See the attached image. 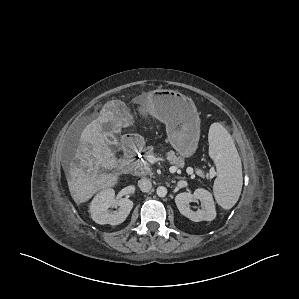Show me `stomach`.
<instances>
[{"mask_svg":"<svg viewBox=\"0 0 299 299\" xmlns=\"http://www.w3.org/2000/svg\"><path fill=\"white\" fill-rule=\"evenodd\" d=\"M142 105L151 117L166 125L168 140L181 157L195 153L200 117L191 98L178 91L158 88L144 94Z\"/></svg>","mask_w":299,"mask_h":299,"instance_id":"stomach-1","label":"stomach"}]
</instances>
